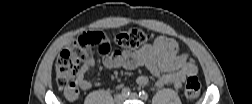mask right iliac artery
I'll return each instance as SVG.
<instances>
[{
    "instance_id": "right-iliac-artery-1",
    "label": "right iliac artery",
    "mask_w": 252,
    "mask_h": 104,
    "mask_svg": "<svg viewBox=\"0 0 252 104\" xmlns=\"http://www.w3.org/2000/svg\"><path fill=\"white\" fill-rule=\"evenodd\" d=\"M130 94V89L129 88H123L122 89V95L123 96H128Z\"/></svg>"
}]
</instances>
